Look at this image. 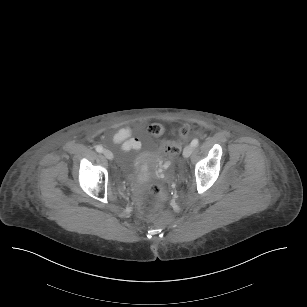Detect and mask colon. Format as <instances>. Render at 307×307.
<instances>
[{
	"instance_id": "obj_1",
	"label": "colon",
	"mask_w": 307,
	"mask_h": 307,
	"mask_svg": "<svg viewBox=\"0 0 307 307\" xmlns=\"http://www.w3.org/2000/svg\"><path fill=\"white\" fill-rule=\"evenodd\" d=\"M194 131V128L192 126H183L180 128L179 134L182 136L179 141H177L175 144L164 140L162 142V149L166 153H179V148L182 146V144H185L190 138L191 135L189 133H192ZM149 133L160 135L162 133V127L158 124L151 125L149 128ZM151 195L155 199H162L166 195V188L162 184H152L151 185Z\"/></svg>"
}]
</instances>
